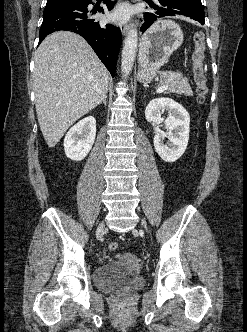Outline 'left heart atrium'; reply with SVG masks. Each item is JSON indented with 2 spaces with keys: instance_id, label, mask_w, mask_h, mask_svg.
I'll return each mask as SVG.
<instances>
[{
  "instance_id": "obj_1",
  "label": "left heart atrium",
  "mask_w": 247,
  "mask_h": 332,
  "mask_svg": "<svg viewBox=\"0 0 247 332\" xmlns=\"http://www.w3.org/2000/svg\"><path fill=\"white\" fill-rule=\"evenodd\" d=\"M128 16L129 10L125 6H119L110 14V19L116 22H124L128 19Z\"/></svg>"
}]
</instances>
